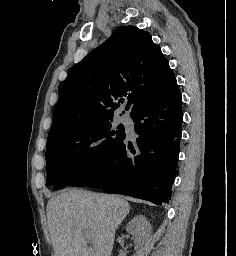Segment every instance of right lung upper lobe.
<instances>
[{
  "mask_svg": "<svg viewBox=\"0 0 236 256\" xmlns=\"http://www.w3.org/2000/svg\"><path fill=\"white\" fill-rule=\"evenodd\" d=\"M176 78L152 36L134 26L119 27L76 64L65 79L48 138L78 125L113 119L122 97L132 115Z\"/></svg>",
  "mask_w": 236,
  "mask_h": 256,
  "instance_id": "1",
  "label": "right lung upper lobe"
}]
</instances>
